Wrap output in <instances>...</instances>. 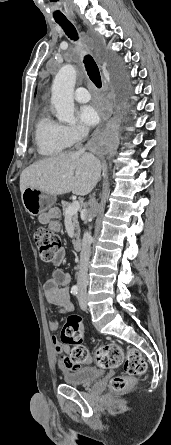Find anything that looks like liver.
I'll return each instance as SVG.
<instances>
[{"label": "liver", "instance_id": "6515ba94", "mask_svg": "<svg viewBox=\"0 0 171 445\" xmlns=\"http://www.w3.org/2000/svg\"><path fill=\"white\" fill-rule=\"evenodd\" d=\"M101 174V163L92 154L66 152L27 167L20 175L21 193L27 187L51 195L72 192L84 196L92 191Z\"/></svg>", "mask_w": 171, "mask_h": 445}]
</instances>
